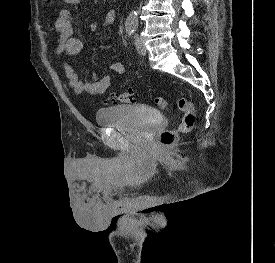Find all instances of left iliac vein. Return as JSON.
<instances>
[{
    "label": "left iliac vein",
    "instance_id": "left-iliac-vein-1",
    "mask_svg": "<svg viewBox=\"0 0 275 263\" xmlns=\"http://www.w3.org/2000/svg\"><path fill=\"white\" fill-rule=\"evenodd\" d=\"M135 45H136L137 52L140 55H145L146 54V48H145L141 38L138 37V36H136V38H135Z\"/></svg>",
    "mask_w": 275,
    "mask_h": 263
}]
</instances>
